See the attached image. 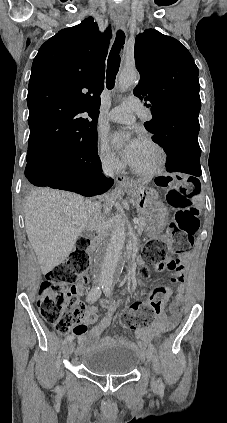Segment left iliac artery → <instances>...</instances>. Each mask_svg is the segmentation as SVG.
Wrapping results in <instances>:
<instances>
[{
  "mask_svg": "<svg viewBox=\"0 0 227 423\" xmlns=\"http://www.w3.org/2000/svg\"><path fill=\"white\" fill-rule=\"evenodd\" d=\"M103 292L106 296H111L112 295V283H109V282L104 283L103 284ZM149 348L152 349L153 351H156L155 347L152 344H149ZM158 388L161 392L164 391V384H163L162 381H159Z\"/></svg>",
  "mask_w": 227,
  "mask_h": 423,
  "instance_id": "44dca946",
  "label": "left iliac artery"
}]
</instances>
